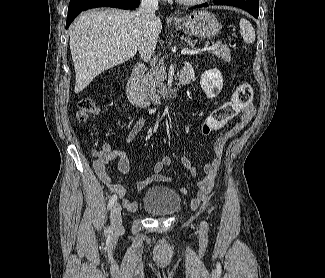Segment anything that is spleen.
Masks as SVG:
<instances>
[{"instance_id": "1", "label": "spleen", "mask_w": 325, "mask_h": 278, "mask_svg": "<svg viewBox=\"0 0 325 278\" xmlns=\"http://www.w3.org/2000/svg\"><path fill=\"white\" fill-rule=\"evenodd\" d=\"M241 35L246 43H253L255 40V31L251 23L242 18L239 22Z\"/></svg>"}]
</instances>
